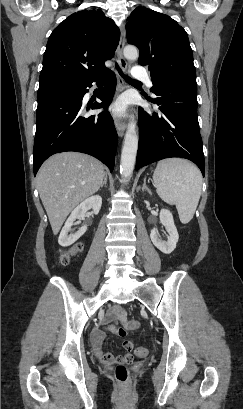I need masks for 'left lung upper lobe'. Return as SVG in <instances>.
<instances>
[{"mask_svg":"<svg viewBox=\"0 0 243 409\" xmlns=\"http://www.w3.org/2000/svg\"><path fill=\"white\" fill-rule=\"evenodd\" d=\"M127 20V41L139 48V64L149 65L152 91L166 79L196 78L187 33L175 20L145 7H137Z\"/></svg>","mask_w":243,"mask_h":409,"instance_id":"1","label":"left lung upper lobe"}]
</instances>
